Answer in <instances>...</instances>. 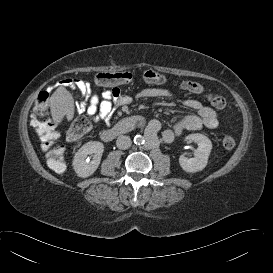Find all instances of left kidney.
<instances>
[{
    "mask_svg": "<svg viewBox=\"0 0 273 273\" xmlns=\"http://www.w3.org/2000/svg\"><path fill=\"white\" fill-rule=\"evenodd\" d=\"M186 140L195 142L198 147L194 150V158H187L183 155L179 158L181 168L190 173L203 170L207 163L212 149V143L205 135L195 133L186 137Z\"/></svg>",
    "mask_w": 273,
    "mask_h": 273,
    "instance_id": "obj_1",
    "label": "left kidney"
}]
</instances>
